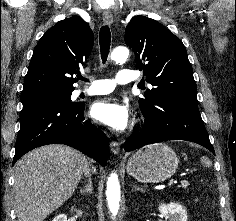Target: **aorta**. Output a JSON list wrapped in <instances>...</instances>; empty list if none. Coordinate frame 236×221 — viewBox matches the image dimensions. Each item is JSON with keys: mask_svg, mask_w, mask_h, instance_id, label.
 I'll return each mask as SVG.
<instances>
[{"mask_svg": "<svg viewBox=\"0 0 236 221\" xmlns=\"http://www.w3.org/2000/svg\"><path fill=\"white\" fill-rule=\"evenodd\" d=\"M129 56V50L126 47H117L111 53V60L116 62L125 61ZM106 197L108 207L115 217L119 210L120 203V184L116 173H112L107 181Z\"/></svg>", "mask_w": 236, "mask_h": 221, "instance_id": "aorta-1", "label": "aorta"}]
</instances>
